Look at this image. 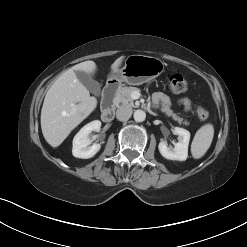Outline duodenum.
Wrapping results in <instances>:
<instances>
[{
  "label": "duodenum",
  "mask_w": 247,
  "mask_h": 247,
  "mask_svg": "<svg viewBox=\"0 0 247 247\" xmlns=\"http://www.w3.org/2000/svg\"><path fill=\"white\" fill-rule=\"evenodd\" d=\"M118 88L116 81H109L102 94L101 117L104 122H110L114 117L115 95Z\"/></svg>",
  "instance_id": "duodenum-1"
}]
</instances>
